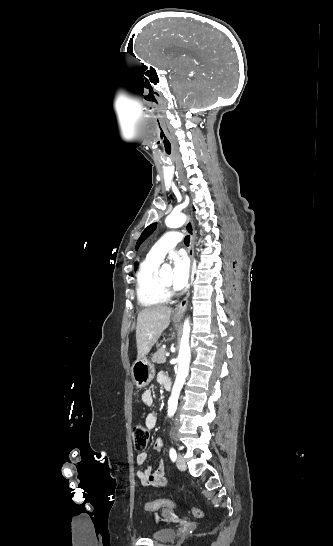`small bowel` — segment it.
Returning a JSON list of instances; mask_svg holds the SVG:
<instances>
[{
  "label": "small bowel",
  "mask_w": 333,
  "mask_h": 546,
  "mask_svg": "<svg viewBox=\"0 0 333 546\" xmlns=\"http://www.w3.org/2000/svg\"><path fill=\"white\" fill-rule=\"evenodd\" d=\"M157 379L160 384L164 386L165 382L168 379V376L164 373H159L157 376ZM142 402L146 406H152L154 404V396L151 391L147 390L142 393L141 396ZM157 424V416L154 412H150L147 414L145 418V426L148 429L155 428ZM163 447V440L162 438L158 437L154 442V450L160 451ZM148 455L145 452H140L136 456V463L138 465H144L147 461ZM166 469V464L162 460L159 462L156 469H153L151 466H147L137 472V478L141 485L148 486V485H154L157 487L165 488L169 486L168 479L164 476V472Z\"/></svg>",
  "instance_id": "obj_1"
}]
</instances>
